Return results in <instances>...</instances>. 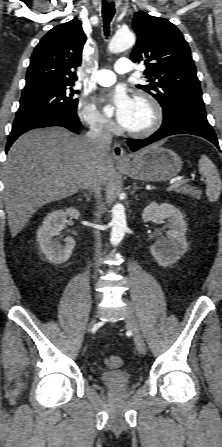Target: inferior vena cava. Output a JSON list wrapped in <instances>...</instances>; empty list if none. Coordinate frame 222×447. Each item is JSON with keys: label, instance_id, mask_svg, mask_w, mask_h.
<instances>
[{"label": "inferior vena cava", "instance_id": "1", "mask_svg": "<svg viewBox=\"0 0 222 447\" xmlns=\"http://www.w3.org/2000/svg\"><path fill=\"white\" fill-rule=\"evenodd\" d=\"M85 137L90 143L91 152L96 160V163H98L102 158L108 155L112 142V135L108 128L104 127L103 124H91L90 130L86 133ZM101 185L102 184L98 176L97 167L83 178V188L89 189L94 194L95 198L98 201V204L101 201ZM97 208L100 209V207ZM95 215L96 217L100 218L99 211H97ZM94 235L96 237V256L99 257L101 248L100 233L98 231H95Z\"/></svg>", "mask_w": 222, "mask_h": 447}]
</instances>
